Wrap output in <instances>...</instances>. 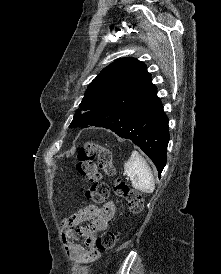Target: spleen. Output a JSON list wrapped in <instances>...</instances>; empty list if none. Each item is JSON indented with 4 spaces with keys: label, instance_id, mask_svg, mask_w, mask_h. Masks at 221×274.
Returning <instances> with one entry per match:
<instances>
[{
    "label": "spleen",
    "instance_id": "1",
    "mask_svg": "<svg viewBox=\"0 0 221 274\" xmlns=\"http://www.w3.org/2000/svg\"><path fill=\"white\" fill-rule=\"evenodd\" d=\"M124 172L130 177L135 189L146 193L154 190L155 181L151 168L137 151L134 150L125 163Z\"/></svg>",
    "mask_w": 221,
    "mask_h": 274
}]
</instances>
